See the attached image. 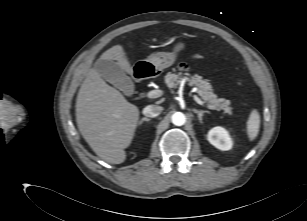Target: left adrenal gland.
<instances>
[{"instance_id": "1", "label": "left adrenal gland", "mask_w": 307, "mask_h": 221, "mask_svg": "<svg viewBox=\"0 0 307 221\" xmlns=\"http://www.w3.org/2000/svg\"><path fill=\"white\" fill-rule=\"evenodd\" d=\"M193 112L198 114V120L200 123H202V118H203V115L205 113H210L209 111H205V110H197V109H193Z\"/></svg>"}]
</instances>
